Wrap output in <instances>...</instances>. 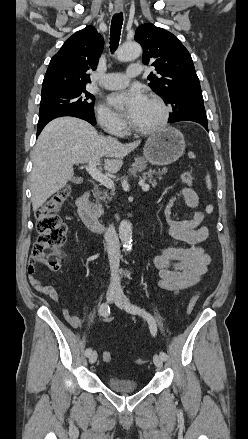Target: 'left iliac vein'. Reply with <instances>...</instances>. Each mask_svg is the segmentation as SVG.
<instances>
[{
	"label": "left iliac vein",
	"mask_w": 248,
	"mask_h": 439,
	"mask_svg": "<svg viewBox=\"0 0 248 439\" xmlns=\"http://www.w3.org/2000/svg\"><path fill=\"white\" fill-rule=\"evenodd\" d=\"M115 304L119 308L127 310V305L129 304V301L121 292H118L117 296L115 298ZM153 362H154V365L158 369L162 368V366H163V359L159 355L156 354V355L153 356Z\"/></svg>",
	"instance_id": "1"
}]
</instances>
